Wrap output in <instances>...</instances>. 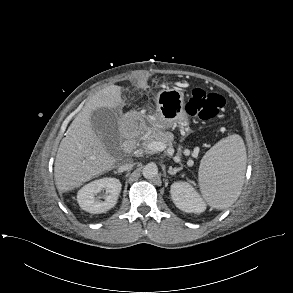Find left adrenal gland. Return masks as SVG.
Listing matches in <instances>:
<instances>
[{"label":"left adrenal gland","instance_id":"a2214340","mask_svg":"<svg viewBox=\"0 0 293 293\" xmlns=\"http://www.w3.org/2000/svg\"><path fill=\"white\" fill-rule=\"evenodd\" d=\"M181 170H182V167H179V168L170 167L169 170H168V173L173 176V175H175L177 172H179Z\"/></svg>","mask_w":293,"mask_h":293}]
</instances>
